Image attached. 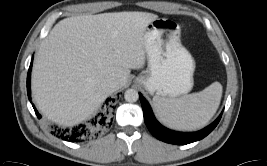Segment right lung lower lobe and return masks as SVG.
Instances as JSON below:
<instances>
[{
    "label": "right lung lower lobe",
    "instance_id": "1",
    "mask_svg": "<svg viewBox=\"0 0 267 166\" xmlns=\"http://www.w3.org/2000/svg\"><path fill=\"white\" fill-rule=\"evenodd\" d=\"M32 63L30 64L28 75H27V92L29 100H31V89H30V75H31ZM114 99L108 98L105 101V104L102 108V111L98 113L93 119L89 120L87 123L80 124L73 128L61 129L57 126L52 127L51 133L57 137L69 141V142H82L89 138H93L97 132L104 127H107L111 124L113 118L112 114L115 109ZM33 108L36 112L38 118H41L40 114L37 112L36 108L33 105Z\"/></svg>",
    "mask_w": 267,
    "mask_h": 166
}]
</instances>
